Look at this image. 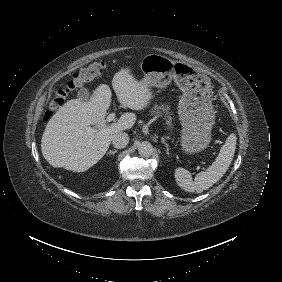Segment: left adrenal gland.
Instances as JSON below:
<instances>
[{
  "label": "left adrenal gland",
  "instance_id": "1",
  "mask_svg": "<svg viewBox=\"0 0 282 282\" xmlns=\"http://www.w3.org/2000/svg\"><path fill=\"white\" fill-rule=\"evenodd\" d=\"M161 142L165 145L166 147V154L170 155L169 153V145L166 143V140L164 138H161Z\"/></svg>",
  "mask_w": 282,
  "mask_h": 282
}]
</instances>
